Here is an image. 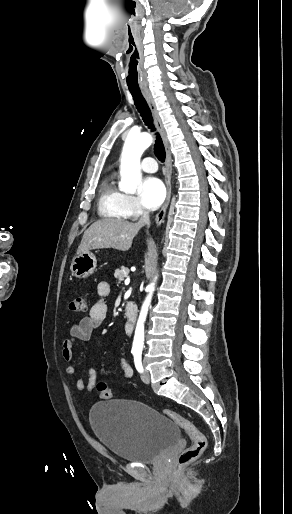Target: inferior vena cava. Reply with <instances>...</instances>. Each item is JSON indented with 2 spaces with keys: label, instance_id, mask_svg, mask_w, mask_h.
Returning a JSON list of instances; mask_svg holds the SVG:
<instances>
[{
  "label": "inferior vena cava",
  "instance_id": "1",
  "mask_svg": "<svg viewBox=\"0 0 292 514\" xmlns=\"http://www.w3.org/2000/svg\"><path fill=\"white\" fill-rule=\"evenodd\" d=\"M140 224H142V226H150L151 222L149 220V212H142V216L139 220Z\"/></svg>",
  "mask_w": 292,
  "mask_h": 514
}]
</instances>
